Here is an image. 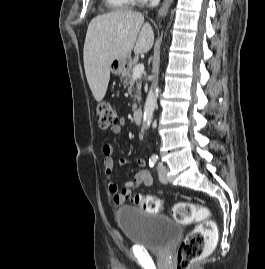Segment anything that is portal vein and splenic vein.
<instances>
[{
  "mask_svg": "<svg viewBox=\"0 0 265 269\" xmlns=\"http://www.w3.org/2000/svg\"><path fill=\"white\" fill-rule=\"evenodd\" d=\"M143 72H144V65L143 64L136 65L133 70V75H132L133 79L140 78Z\"/></svg>",
  "mask_w": 265,
  "mask_h": 269,
  "instance_id": "portal-vein-and-splenic-vein-1",
  "label": "portal vein and splenic vein"
}]
</instances>
